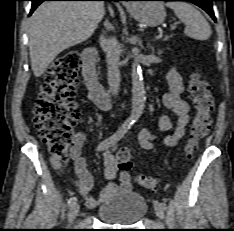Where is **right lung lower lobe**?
Segmentation results:
<instances>
[{
	"instance_id": "98d812e1",
	"label": "right lung lower lobe",
	"mask_w": 234,
	"mask_h": 231,
	"mask_svg": "<svg viewBox=\"0 0 234 231\" xmlns=\"http://www.w3.org/2000/svg\"><path fill=\"white\" fill-rule=\"evenodd\" d=\"M32 1V9L30 14L44 1H94V0H31ZM95 1H119V0H95Z\"/></svg>"
}]
</instances>
